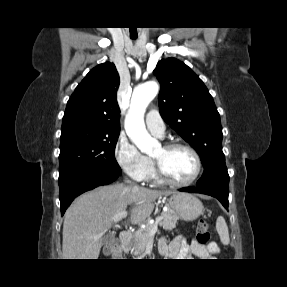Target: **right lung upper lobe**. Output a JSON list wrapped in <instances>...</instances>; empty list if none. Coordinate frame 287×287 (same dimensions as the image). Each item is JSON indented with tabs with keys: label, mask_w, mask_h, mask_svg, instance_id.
<instances>
[{
	"label": "right lung upper lobe",
	"mask_w": 287,
	"mask_h": 287,
	"mask_svg": "<svg viewBox=\"0 0 287 287\" xmlns=\"http://www.w3.org/2000/svg\"><path fill=\"white\" fill-rule=\"evenodd\" d=\"M119 83V74L113 63L93 68L68 100L62 130L79 124L120 130V109L116 100Z\"/></svg>",
	"instance_id": "obj_1"
}]
</instances>
